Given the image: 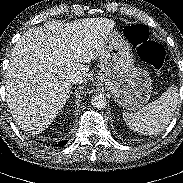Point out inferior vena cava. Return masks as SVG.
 I'll return each instance as SVG.
<instances>
[{"mask_svg": "<svg viewBox=\"0 0 183 183\" xmlns=\"http://www.w3.org/2000/svg\"><path fill=\"white\" fill-rule=\"evenodd\" d=\"M68 81L70 83H78V82H81V77L79 76L78 73H71L69 76H68Z\"/></svg>", "mask_w": 183, "mask_h": 183, "instance_id": "inferior-vena-cava-1", "label": "inferior vena cava"}]
</instances>
